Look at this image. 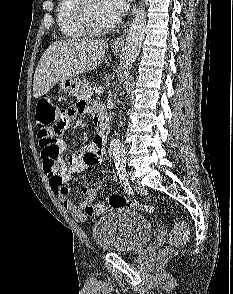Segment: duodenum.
I'll return each mask as SVG.
<instances>
[{
	"label": "duodenum",
	"instance_id": "1",
	"mask_svg": "<svg viewBox=\"0 0 233 294\" xmlns=\"http://www.w3.org/2000/svg\"><path fill=\"white\" fill-rule=\"evenodd\" d=\"M94 123L96 138L100 143H105L110 131V122L105 108L97 104L94 108Z\"/></svg>",
	"mask_w": 233,
	"mask_h": 294
}]
</instances>
